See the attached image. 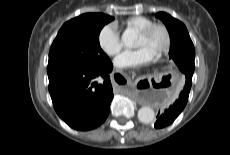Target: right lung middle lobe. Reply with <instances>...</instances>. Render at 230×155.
I'll list each match as a JSON object with an SVG mask.
<instances>
[{"label": "right lung middle lobe", "mask_w": 230, "mask_h": 155, "mask_svg": "<svg viewBox=\"0 0 230 155\" xmlns=\"http://www.w3.org/2000/svg\"><path fill=\"white\" fill-rule=\"evenodd\" d=\"M113 17L97 13L84 21L64 24L53 41L47 71L63 67H99L110 62L99 44L103 26Z\"/></svg>", "instance_id": "obj_1"}]
</instances>
